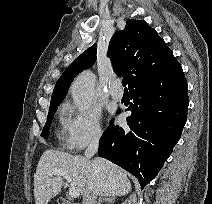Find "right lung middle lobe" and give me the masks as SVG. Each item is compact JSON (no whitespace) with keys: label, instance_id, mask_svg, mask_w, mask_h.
<instances>
[{"label":"right lung middle lobe","instance_id":"dd1d6c3e","mask_svg":"<svg viewBox=\"0 0 212 204\" xmlns=\"http://www.w3.org/2000/svg\"><path fill=\"white\" fill-rule=\"evenodd\" d=\"M57 105H58V104H51V105H50L49 113H48V118H47V122H46V124H45V126H44V128H43L42 133H41V136L44 137V138H46L47 135H48V129L50 128L51 119H52L54 113H55L56 110H57Z\"/></svg>","mask_w":212,"mask_h":204}]
</instances>
